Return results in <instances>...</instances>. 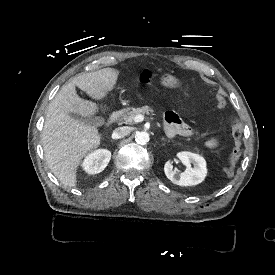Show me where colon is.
Masks as SVG:
<instances>
[{
  "instance_id": "colon-1",
  "label": "colon",
  "mask_w": 275,
  "mask_h": 275,
  "mask_svg": "<svg viewBox=\"0 0 275 275\" xmlns=\"http://www.w3.org/2000/svg\"><path fill=\"white\" fill-rule=\"evenodd\" d=\"M226 98L222 93H218L216 95V105L219 108H224L226 106ZM232 137L234 139V148L232 154L227 160L225 166V174L227 176H233L235 174L236 165L241 157L242 154V139H241V126L236 121L232 125Z\"/></svg>"
}]
</instances>
